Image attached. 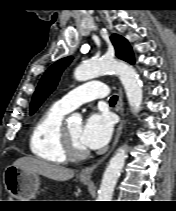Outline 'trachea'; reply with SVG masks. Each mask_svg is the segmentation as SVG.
Here are the masks:
<instances>
[{"mask_svg": "<svg viewBox=\"0 0 176 211\" xmlns=\"http://www.w3.org/2000/svg\"><path fill=\"white\" fill-rule=\"evenodd\" d=\"M117 102V96L114 95L110 98V104H115Z\"/></svg>", "mask_w": 176, "mask_h": 211, "instance_id": "obj_1", "label": "trachea"}]
</instances>
